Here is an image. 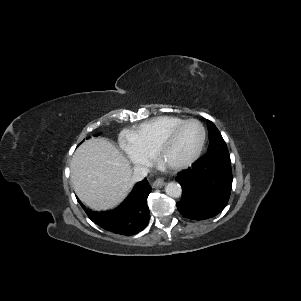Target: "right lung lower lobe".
<instances>
[{
    "label": "right lung lower lobe",
    "mask_w": 301,
    "mask_h": 301,
    "mask_svg": "<svg viewBox=\"0 0 301 301\" xmlns=\"http://www.w3.org/2000/svg\"><path fill=\"white\" fill-rule=\"evenodd\" d=\"M151 192L147 179L136 183L129 196L114 210L92 211L80 205L88 217L101 228L120 235L131 236L142 231L150 215L146 199Z\"/></svg>",
    "instance_id": "obj_1"
}]
</instances>
